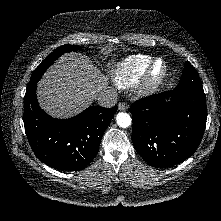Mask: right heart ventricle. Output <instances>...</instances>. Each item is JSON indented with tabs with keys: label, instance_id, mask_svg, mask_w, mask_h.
Segmentation results:
<instances>
[{
	"label": "right heart ventricle",
	"instance_id": "right-heart-ventricle-1",
	"mask_svg": "<svg viewBox=\"0 0 221 221\" xmlns=\"http://www.w3.org/2000/svg\"><path fill=\"white\" fill-rule=\"evenodd\" d=\"M152 57L144 54L131 55L118 62L111 73L113 82L120 88H130L139 82Z\"/></svg>",
	"mask_w": 221,
	"mask_h": 221
}]
</instances>
